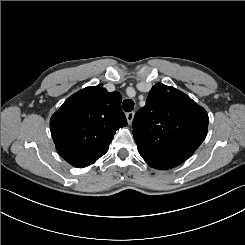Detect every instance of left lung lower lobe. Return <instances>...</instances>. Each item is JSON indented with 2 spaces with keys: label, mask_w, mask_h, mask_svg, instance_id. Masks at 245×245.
<instances>
[{
  "label": "left lung lower lobe",
  "mask_w": 245,
  "mask_h": 245,
  "mask_svg": "<svg viewBox=\"0 0 245 245\" xmlns=\"http://www.w3.org/2000/svg\"><path fill=\"white\" fill-rule=\"evenodd\" d=\"M149 166L156 169H171L182 164L184 161L168 153H156L153 155H142Z\"/></svg>",
  "instance_id": "1"
}]
</instances>
